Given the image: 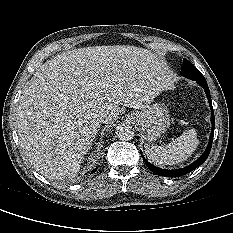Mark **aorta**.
Returning <instances> with one entry per match:
<instances>
[{
  "instance_id": "aorta-1",
  "label": "aorta",
  "mask_w": 233,
  "mask_h": 233,
  "mask_svg": "<svg viewBox=\"0 0 233 233\" xmlns=\"http://www.w3.org/2000/svg\"><path fill=\"white\" fill-rule=\"evenodd\" d=\"M116 136L120 140L128 141L134 137V128L127 123H121L116 127Z\"/></svg>"
}]
</instances>
